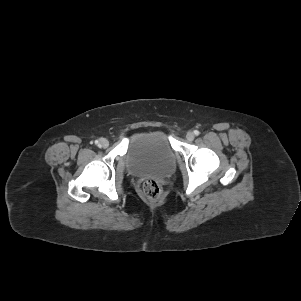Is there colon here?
I'll use <instances>...</instances> for the list:
<instances>
[{
	"label": "colon",
	"instance_id": "colon-1",
	"mask_svg": "<svg viewBox=\"0 0 301 301\" xmlns=\"http://www.w3.org/2000/svg\"><path fill=\"white\" fill-rule=\"evenodd\" d=\"M142 190L144 195L151 201H158L163 196L162 185L154 179L146 180L142 185Z\"/></svg>",
	"mask_w": 301,
	"mask_h": 301
}]
</instances>
